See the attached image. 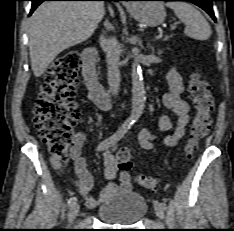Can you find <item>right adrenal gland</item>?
Returning a JSON list of instances; mask_svg holds the SVG:
<instances>
[{
  "label": "right adrenal gland",
  "mask_w": 234,
  "mask_h": 231,
  "mask_svg": "<svg viewBox=\"0 0 234 231\" xmlns=\"http://www.w3.org/2000/svg\"><path fill=\"white\" fill-rule=\"evenodd\" d=\"M104 26H105L106 31L113 30V26L107 20H105ZM106 31L103 30L104 35L106 34Z\"/></svg>",
  "instance_id": "2a0ac1e0"
}]
</instances>
